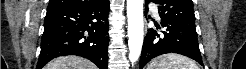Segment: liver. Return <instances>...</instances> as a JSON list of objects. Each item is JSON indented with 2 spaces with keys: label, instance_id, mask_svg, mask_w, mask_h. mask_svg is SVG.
<instances>
[{
  "label": "liver",
  "instance_id": "obj_1",
  "mask_svg": "<svg viewBox=\"0 0 246 69\" xmlns=\"http://www.w3.org/2000/svg\"><path fill=\"white\" fill-rule=\"evenodd\" d=\"M44 69H97L96 66L77 56L58 57L49 62Z\"/></svg>",
  "mask_w": 246,
  "mask_h": 69
}]
</instances>
